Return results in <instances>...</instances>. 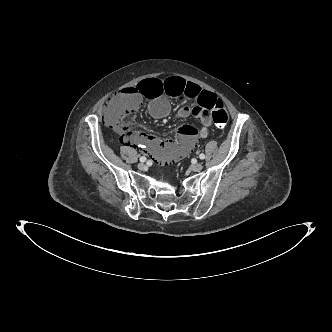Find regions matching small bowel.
I'll return each instance as SVG.
<instances>
[{"label":"small bowel","mask_w":332,"mask_h":332,"mask_svg":"<svg viewBox=\"0 0 332 332\" xmlns=\"http://www.w3.org/2000/svg\"><path fill=\"white\" fill-rule=\"evenodd\" d=\"M138 96L148 102L149 113L155 118L166 117L171 110L169 98L183 102L177 111L179 118L193 115L200 120L201 127L196 129L189 125L180 127L179 133H170L166 140L139 130H126L123 136L127 146L137 145L163 168L172 166L177 161L187 158L196 138H207L210 135L212 117L210 108L217 97L212 92L201 89L195 83L183 78L161 76L140 78L135 83ZM194 100L192 107L185 104Z\"/></svg>","instance_id":"1"}]
</instances>
